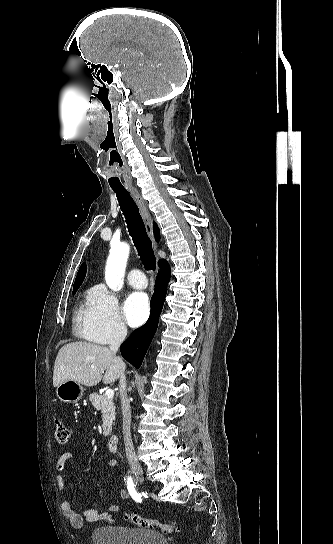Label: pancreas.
<instances>
[{"label":"pancreas","mask_w":333,"mask_h":544,"mask_svg":"<svg viewBox=\"0 0 333 544\" xmlns=\"http://www.w3.org/2000/svg\"><path fill=\"white\" fill-rule=\"evenodd\" d=\"M89 400L96 410L102 413L103 435L108 436L111 432L112 423L115 416V406L112 398L106 395L90 394Z\"/></svg>","instance_id":"pancreas-1"}]
</instances>
